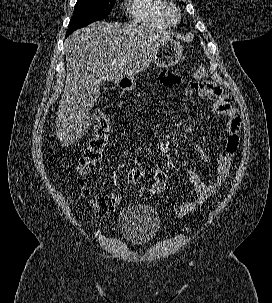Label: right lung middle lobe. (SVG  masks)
I'll list each match as a JSON object with an SVG mask.
<instances>
[{
    "mask_svg": "<svg viewBox=\"0 0 272 303\" xmlns=\"http://www.w3.org/2000/svg\"><path fill=\"white\" fill-rule=\"evenodd\" d=\"M116 0H78L66 37L73 31L108 17Z\"/></svg>",
    "mask_w": 272,
    "mask_h": 303,
    "instance_id": "right-lung-middle-lobe-1",
    "label": "right lung middle lobe"
}]
</instances>
